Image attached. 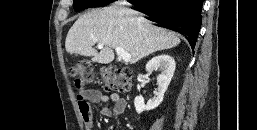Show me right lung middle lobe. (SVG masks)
I'll list each match as a JSON object with an SVG mask.
<instances>
[{"label":"right lung middle lobe","instance_id":"obj_1","mask_svg":"<svg viewBox=\"0 0 257 130\" xmlns=\"http://www.w3.org/2000/svg\"><path fill=\"white\" fill-rule=\"evenodd\" d=\"M74 9L81 11L90 7H102L110 3V0H73Z\"/></svg>","mask_w":257,"mask_h":130}]
</instances>
